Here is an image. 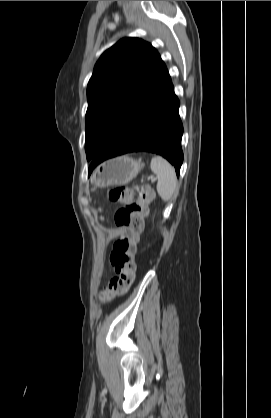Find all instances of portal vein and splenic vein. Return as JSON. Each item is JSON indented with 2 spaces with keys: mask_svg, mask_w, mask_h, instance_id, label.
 <instances>
[{
  "mask_svg": "<svg viewBox=\"0 0 271 418\" xmlns=\"http://www.w3.org/2000/svg\"><path fill=\"white\" fill-rule=\"evenodd\" d=\"M156 178L155 177H153V178H151V181H154Z\"/></svg>",
  "mask_w": 271,
  "mask_h": 418,
  "instance_id": "obj_1",
  "label": "portal vein and splenic vein"
}]
</instances>
